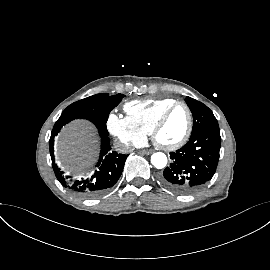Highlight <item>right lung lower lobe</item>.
I'll return each mask as SVG.
<instances>
[{
	"mask_svg": "<svg viewBox=\"0 0 270 270\" xmlns=\"http://www.w3.org/2000/svg\"><path fill=\"white\" fill-rule=\"evenodd\" d=\"M71 120L73 119L58 120L53 127L49 140V149L53 170L57 179L63 186L70 188L71 190L84 197L98 196L104 193L118 181L128 155L119 154L116 151H111L106 122L94 118H87V120L91 121L97 127L101 137V152L99 160L95 165L96 170L91 178L85 180L81 178V180H74L72 183L68 184V182L62 176L63 172H61L55 164L53 145L54 137L59 133L62 126Z\"/></svg>",
	"mask_w": 270,
	"mask_h": 270,
	"instance_id": "98d812e1",
	"label": "right lung lower lobe"
}]
</instances>
